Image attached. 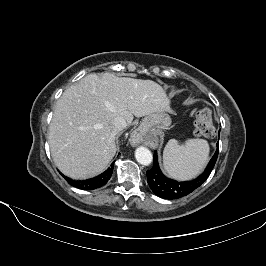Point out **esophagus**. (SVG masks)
<instances>
[{
	"mask_svg": "<svg viewBox=\"0 0 266 266\" xmlns=\"http://www.w3.org/2000/svg\"><path fill=\"white\" fill-rule=\"evenodd\" d=\"M144 138V132L142 129H136L132 132L130 137V143L132 145H137L138 143L142 142Z\"/></svg>",
	"mask_w": 266,
	"mask_h": 266,
	"instance_id": "esophagus-1",
	"label": "esophagus"
}]
</instances>
